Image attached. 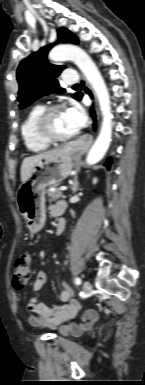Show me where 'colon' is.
<instances>
[{
	"mask_svg": "<svg viewBox=\"0 0 145 385\" xmlns=\"http://www.w3.org/2000/svg\"><path fill=\"white\" fill-rule=\"evenodd\" d=\"M31 257L29 254H22L17 258L14 265L13 285L16 289L26 287L31 271H30Z\"/></svg>",
	"mask_w": 145,
	"mask_h": 385,
	"instance_id": "5ec220e1",
	"label": "colon"
}]
</instances>
